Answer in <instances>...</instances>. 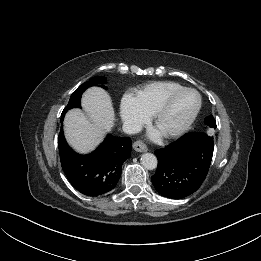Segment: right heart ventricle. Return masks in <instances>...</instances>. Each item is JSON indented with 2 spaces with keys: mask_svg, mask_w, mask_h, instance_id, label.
Masks as SVG:
<instances>
[{
  "mask_svg": "<svg viewBox=\"0 0 261 261\" xmlns=\"http://www.w3.org/2000/svg\"><path fill=\"white\" fill-rule=\"evenodd\" d=\"M183 88L174 81H156L144 85L135 95V100L141 111L152 116L162 101L173 91Z\"/></svg>",
  "mask_w": 261,
  "mask_h": 261,
  "instance_id": "right-heart-ventricle-1",
  "label": "right heart ventricle"
}]
</instances>
